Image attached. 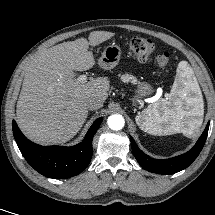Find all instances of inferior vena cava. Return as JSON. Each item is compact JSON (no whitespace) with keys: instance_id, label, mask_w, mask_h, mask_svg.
<instances>
[{"instance_id":"1","label":"inferior vena cava","mask_w":215,"mask_h":215,"mask_svg":"<svg viewBox=\"0 0 215 215\" xmlns=\"http://www.w3.org/2000/svg\"><path fill=\"white\" fill-rule=\"evenodd\" d=\"M103 101L100 98L92 97L87 99L86 106L89 110H96L103 106Z\"/></svg>"}]
</instances>
